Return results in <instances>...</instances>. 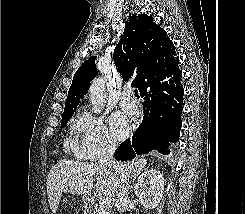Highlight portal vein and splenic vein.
<instances>
[{
	"label": "portal vein and splenic vein",
	"mask_w": 245,
	"mask_h": 214,
	"mask_svg": "<svg viewBox=\"0 0 245 214\" xmlns=\"http://www.w3.org/2000/svg\"><path fill=\"white\" fill-rule=\"evenodd\" d=\"M112 202V199L110 197H103L101 199V205L104 206V207H110V204Z\"/></svg>",
	"instance_id": "1"
}]
</instances>
